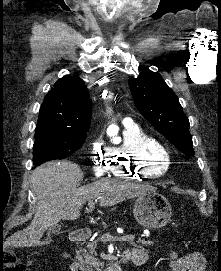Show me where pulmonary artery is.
I'll return each instance as SVG.
<instances>
[{
  "label": "pulmonary artery",
  "mask_w": 221,
  "mask_h": 271,
  "mask_svg": "<svg viewBox=\"0 0 221 271\" xmlns=\"http://www.w3.org/2000/svg\"><path fill=\"white\" fill-rule=\"evenodd\" d=\"M141 122H121V127H141ZM127 133H122V138H138V128H127Z\"/></svg>",
  "instance_id": "obj_1"
}]
</instances>
